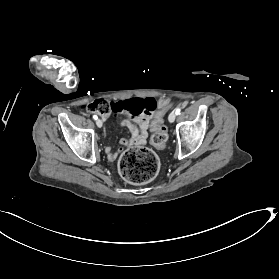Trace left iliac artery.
<instances>
[{"label": "left iliac artery", "mask_w": 279, "mask_h": 279, "mask_svg": "<svg viewBox=\"0 0 279 279\" xmlns=\"http://www.w3.org/2000/svg\"><path fill=\"white\" fill-rule=\"evenodd\" d=\"M180 112H181V109H180V108H177L175 113H176V115H179Z\"/></svg>", "instance_id": "44dca946"}]
</instances>
